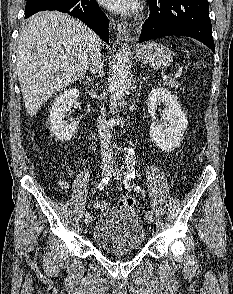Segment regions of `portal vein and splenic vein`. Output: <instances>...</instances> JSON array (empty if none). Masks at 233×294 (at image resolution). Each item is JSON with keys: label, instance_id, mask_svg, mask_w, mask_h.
I'll return each instance as SVG.
<instances>
[{"label": "portal vein and splenic vein", "instance_id": "18ae733b", "mask_svg": "<svg viewBox=\"0 0 233 294\" xmlns=\"http://www.w3.org/2000/svg\"><path fill=\"white\" fill-rule=\"evenodd\" d=\"M178 77V75H176L174 78H177ZM170 77H169V75H164L163 76V80H167V79H169Z\"/></svg>", "mask_w": 233, "mask_h": 294}]
</instances>
